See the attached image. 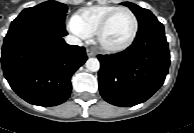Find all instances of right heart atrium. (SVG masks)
Instances as JSON below:
<instances>
[{
  "instance_id": "right-heart-atrium-1",
  "label": "right heart atrium",
  "mask_w": 194,
  "mask_h": 133,
  "mask_svg": "<svg viewBox=\"0 0 194 133\" xmlns=\"http://www.w3.org/2000/svg\"><path fill=\"white\" fill-rule=\"evenodd\" d=\"M70 29L72 30V32L80 36L86 34V29L84 28L82 23L77 19H72L70 21Z\"/></svg>"
}]
</instances>
